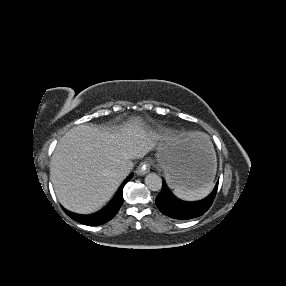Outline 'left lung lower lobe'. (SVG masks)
<instances>
[{"label":"left lung lower lobe","instance_id":"0a47b994","mask_svg":"<svg viewBox=\"0 0 286 286\" xmlns=\"http://www.w3.org/2000/svg\"><path fill=\"white\" fill-rule=\"evenodd\" d=\"M218 183L217 181L214 190L205 199L185 202L177 199L168 189L166 183L163 182L162 190L156 197V205L163 214L175 219L186 220L199 217L212 205L218 189Z\"/></svg>","mask_w":286,"mask_h":286}]
</instances>
